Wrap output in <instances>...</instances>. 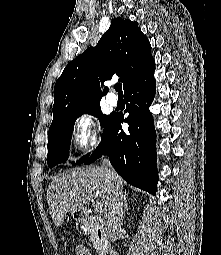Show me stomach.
Returning a JSON list of instances; mask_svg holds the SVG:
<instances>
[{"mask_svg":"<svg viewBox=\"0 0 221 255\" xmlns=\"http://www.w3.org/2000/svg\"><path fill=\"white\" fill-rule=\"evenodd\" d=\"M73 217H75V219L80 220L81 216L79 214H77L76 212L72 213Z\"/></svg>","mask_w":221,"mask_h":255,"instance_id":"0dacf381","label":"stomach"}]
</instances>
